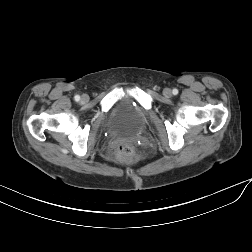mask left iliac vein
Masks as SVG:
<instances>
[{
    "instance_id": "obj_1",
    "label": "left iliac vein",
    "mask_w": 252,
    "mask_h": 252,
    "mask_svg": "<svg viewBox=\"0 0 252 252\" xmlns=\"http://www.w3.org/2000/svg\"><path fill=\"white\" fill-rule=\"evenodd\" d=\"M163 94L165 97H171L172 96V90L170 88H165L163 90Z\"/></svg>"
}]
</instances>
